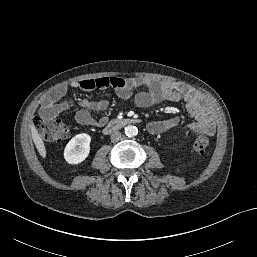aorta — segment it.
<instances>
[{
	"mask_svg": "<svg viewBox=\"0 0 257 257\" xmlns=\"http://www.w3.org/2000/svg\"><path fill=\"white\" fill-rule=\"evenodd\" d=\"M125 134L128 136V137H134L138 134V129L136 126H133V125H128L125 127Z\"/></svg>",
	"mask_w": 257,
	"mask_h": 257,
	"instance_id": "obj_1",
	"label": "aorta"
}]
</instances>
